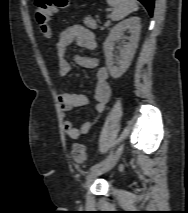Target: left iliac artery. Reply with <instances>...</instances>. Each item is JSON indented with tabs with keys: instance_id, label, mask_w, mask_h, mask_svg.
<instances>
[{
	"instance_id": "1",
	"label": "left iliac artery",
	"mask_w": 188,
	"mask_h": 213,
	"mask_svg": "<svg viewBox=\"0 0 188 213\" xmlns=\"http://www.w3.org/2000/svg\"><path fill=\"white\" fill-rule=\"evenodd\" d=\"M112 155H113V153L111 152V153L107 156V158H106L105 160H103V161L100 162V163H97V164L93 165V166L90 168V170H91V171H94V170H96L97 168L101 167L105 162H107V161L112 157Z\"/></svg>"
}]
</instances>
